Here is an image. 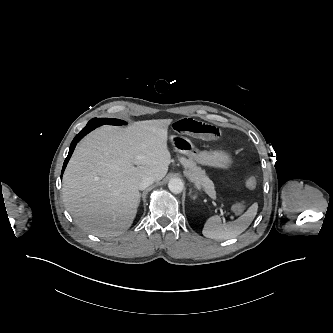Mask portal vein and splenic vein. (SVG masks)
Returning <instances> with one entry per match:
<instances>
[{"instance_id": "18ae733b", "label": "portal vein and splenic vein", "mask_w": 333, "mask_h": 333, "mask_svg": "<svg viewBox=\"0 0 333 333\" xmlns=\"http://www.w3.org/2000/svg\"><path fill=\"white\" fill-rule=\"evenodd\" d=\"M212 198L215 199L216 196L213 195ZM220 212H221V215L226 214V211L224 210V205H223V203H220Z\"/></svg>"}]
</instances>
